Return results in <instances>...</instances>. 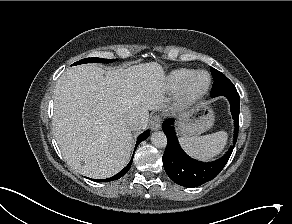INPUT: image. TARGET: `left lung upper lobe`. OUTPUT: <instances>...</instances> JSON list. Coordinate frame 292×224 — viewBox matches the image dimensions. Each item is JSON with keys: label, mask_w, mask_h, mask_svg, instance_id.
<instances>
[{"label": "left lung upper lobe", "mask_w": 292, "mask_h": 224, "mask_svg": "<svg viewBox=\"0 0 292 224\" xmlns=\"http://www.w3.org/2000/svg\"><path fill=\"white\" fill-rule=\"evenodd\" d=\"M210 70L214 78V83L211 90V97L221 96L226 92L236 90L233 83L221 72L214 69L213 67H211Z\"/></svg>", "instance_id": "obj_1"}]
</instances>
